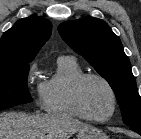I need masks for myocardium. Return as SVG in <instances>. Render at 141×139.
I'll list each match as a JSON object with an SVG mask.
<instances>
[{
    "instance_id": "myocardium-1",
    "label": "myocardium",
    "mask_w": 141,
    "mask_h": 139,
    "mask_svg": "<svg viewBox=\"0 0 141 139\" xmlns=\"http://www.w3.org/2000/svg\"><path fill=\"white\" fill-rule=\"evenodd\" d=\"M89 79H97L101 81L103 84H105V86L108 88L111 94L112 108H111L110 113L104 118L91 117L90 115L86 113L82 105L81 89H82L83 84ZM71 101H72V104L75 110L81 116V118L87 121H90V122H94V123H104V122L109 121L114 116L116 109H117V104H118L117 94L115 92L114 87L112 86V84L109 82L107 78H105L104 76L98 73H84L73 82L72 87H71Z\"/></svg>"
}]
</instances>
